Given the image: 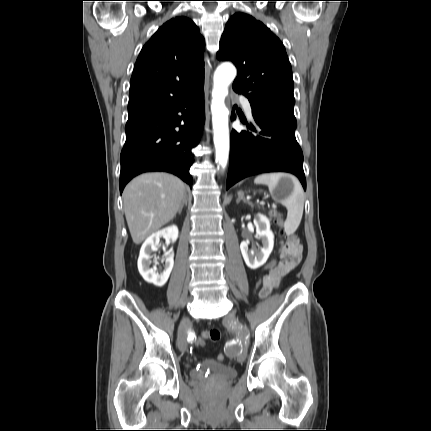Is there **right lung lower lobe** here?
<instances>
[{"label":"right lung lower lobe","mask_w":431,"mask_h":431,"mask_svg":"<svg viewBox=\"0 0 431 431\" xmlns=\"http://www.w3.org/2000/svg\"><path fill=\"white\" fill-rule=\"evenodd\" d=\"M204 121L203 85L173 106L128 118L120 193L133 177L149 171L170 172L191 185V150L199 144Z\"/></svg>","instance_id":"1"}]
</instances>
